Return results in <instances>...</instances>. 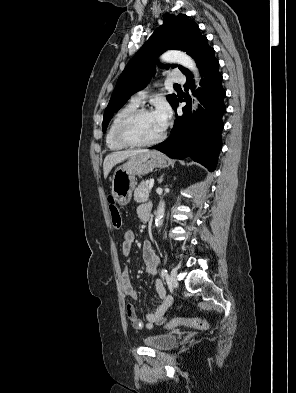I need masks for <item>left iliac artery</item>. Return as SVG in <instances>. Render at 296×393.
Returning a JSON list of instances; mask_svg holds the SVG:
<instances>
[{
  "label": "left iliac artery",
  "mask_w": 296,
  "mask_h": 393,
  "mask_svg": "<svg viewBox=\"0 0 296 393\" xmlns=\"http://www.w3.org/2000/svg\"><path fill=\"white\" fill-rule=\"evenodd\" d=\"M161 275H162L163 277H168V271H167L166 269H162Z\"/></svg>",
  "instance_id": "44dca946"
}]
</instances>
